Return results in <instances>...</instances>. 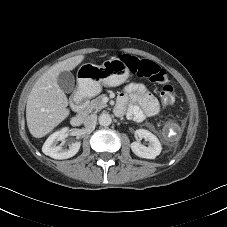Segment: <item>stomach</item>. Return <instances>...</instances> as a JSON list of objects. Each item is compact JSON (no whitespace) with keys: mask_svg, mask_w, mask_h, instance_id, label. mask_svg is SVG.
Here are the masks:
<instances>
[{"mask_svg":"<svg viewBox=\"0 0 227 227\" xmlns=\"http://www.w3.org/2000/svg\"><path fill=\"white\" fill-rule=\"evenodd\" d=\"M79 90L88 97L97 95L102 86L115 87L129 77L127 65L119 58L105 60L101 65L85 63L78 70Z\"/></svg>","mask_w":227,"mask_h":227,"instance_id":"obj_1","label":"stomach"}]
</instances>
